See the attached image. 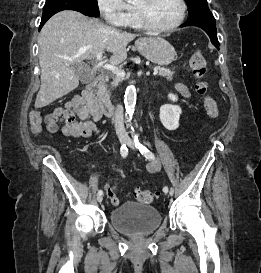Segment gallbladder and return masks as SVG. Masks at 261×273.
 I'll list each match as a JSON object with an SVG mask.
<instances>
[{"label": "gallbladder", "instance_id": "1", "mask_svg": "<svg viewBox=\"0 0 261 273\" xmlns=\"http://www.w3.org/2000/svg\"><path fill=\"white\" fill-rule=\"evenodd\" d=\"M72 69L75 71L82 83L87 84L91 81L93 72L86 66L82 65L81 63H74L72 65Z\"/></svg>", "mask_w": 261, "mask_h": 273}]
</instances>
